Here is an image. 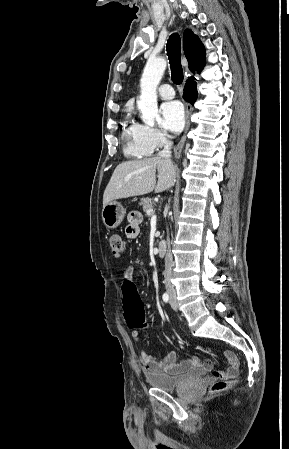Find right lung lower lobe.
Segmentation results:
<instances>
[{"label":"right lung lower lobe","instance_id":"right-lung-lower-lobe-1","mask_svg":"<svg viewBox=\"0 0 289 449\" xmlns=\"http://www.w3.org/2000/svg\"><path fill=\"white\" fill-rule=\"evenodd\" d=\"M198 96L197 89H196V81L194 77H189V79L186 81L185 87H184V93L183 98L191 103L194 104Z\"/></svg>","mask_w":289,"mask_h":449}]
</instances>
